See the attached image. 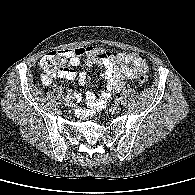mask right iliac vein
Here are the masks:
<instances>
[{"instance_id":"right-iliac-vein-1","label":"right iliac vein","mask_w":195,"mask_h":195,"mask_svg":"<svg viewBox=\"0 0 195 195\" xmlns=\"http://www.w3.org/2000/svg\"><path fill=\"white\" fill-rule=\"evenodd\" d=\"M66 105H67V107L70 108V109L75 108V103L73 102L72 99L67 100V101H66Z\"/></svg>"}]
</instances>
